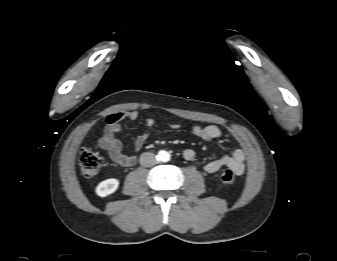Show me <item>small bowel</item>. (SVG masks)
Here are the masks:
<instances>
[{
    "mask_svg": "<svg viewBox=\"0 0 337 261\" xmlns=\"http://www.w3.org/2000/svg\"><path fill=\"white\" fill-rule=\"evenodd\" d=\"M139 117L136 110H128L112 113L107 116L106 124L104 127L103 135L99 140L101 148L108 152L109 157L117 164L130 167L136 163V157L133 154H127L123 150V143L118 136L122 134L121 122L124 120L134 121ZM145 123L148 127L155 125V119L147 117ZM170 129L177 130L180 125L173 123L169 125ZM192 133L205 140L213 141L221 136V130L215 125L200 126L196 125L192 128ZM149 138V134L144 132L138 135L133 143V149L138 152L146 143ZM183 157L187 161H194L196 159V152L193 149H185ZM230 168L236 175H242L245 170V154L242 149H236L231 155H225L213 159L206 163L204 171L208 174H214L222 167Z\"/></svg>",
    "mask_w": 337,
    "mask_h": 261,
    "instance_id": "1",
    "label": "small bowel"
}]
</instances>
